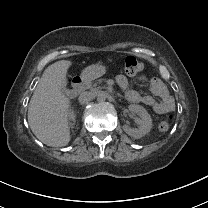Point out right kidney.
<instances>
[{
    "label": "right kidney",
    "mask_w": 208,
    "mask_h": 208,
    "mask_svg": "<svg viewBox=\"0 0 208 208\" xmlns=\"http://www.w3.org/2000/svg\"><path fill=\"white\" fill-rule=\"evenodd\" d=\"M74 116H75L74 114H70V115H69V118H70V119H74Z\"/></svg>",
    "instance_id": "right-kidney-1"
}]
</instances>
